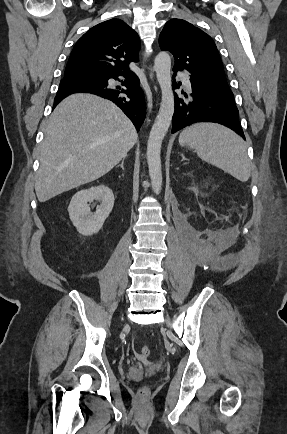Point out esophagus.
Wrapping results in <instances>:
<instances>
[{
	"label": "esophagus",
	"instance_id": "esophagus-1",
	"mask_svg": "<svg viewBox=\"0 0 287 434\" xmlns=\"http://www.w3.org/2000/svg\"><path fill=\"white\" fill-rule=\"evenodd\" d=\"M145 60H146V56L143 57V61H145Z\"/></svg>",
	"mask_w": 287,
	"mask_h": 434
}]
</instances>
